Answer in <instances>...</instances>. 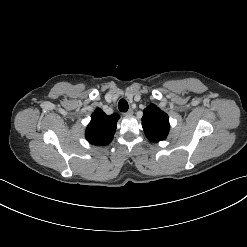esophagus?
I'll list each match as a JSON object with an SVG mask.
<instances>
[{"instance_id": "obj_1", "label": "esophagus", "mask_w": 247, "mask_h": 247, "mask_svg": "<svg viewBox=\"0 0 247 247\" xmlns=\"http://www.w3.org/2000/svg\"><path fill=\"white\" fill-rule=\"evenodd\" d=\"M125 116H128V115H132L133 114V110L132 109H129L127 112L123 113Z\"/></svg>"}]
</instances>
